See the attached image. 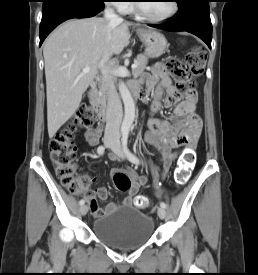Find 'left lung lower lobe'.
<instances>
[{"label": "left lung lower lobe", "instance_id": "left-lung-lower-lobe-1", "mask_svg": "<svg viewBox=\"0 0 258 275\" xmlns=\"http://www.w3.org/2000/svg\"><path fill=\"white\" fill-rule=\"evenodd\" d=\"M210 0H177L179 11L169 22L150 25L167 31H187L202 39L211 48L212 24Z\"/></svg>", "mask_w": 258, "mask_h": 275}]
</instances>
